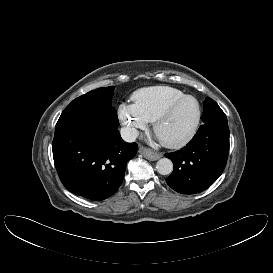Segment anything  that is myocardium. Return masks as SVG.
Instances as JSON below:
<instances>
[{
    "label": "myocardium",
    "mask_w": 273,
    "mask_h": 273,
    "mask_svg": "<svg viewBox=\"0 0 273 273\" xmlns=\"http://www.w3.org/2000/svg\"><path fill=\"white\" fill-rule=\"evenodd\" d=\"M185 100H192L195 102L196 106H197V116L196 119L194 121V124L192 126V128L190 129V131L180 140L177 141H164L161 140V143L168 147V148H172V149H179L182 148L184 146H186L196 135L200 122H201V116H202V111H201V106L198 102V100L191 96V95H184L174 101H172L171 103H169L160 113L159 115L155 118V120L153 121V131L154 133L157 135V131L158 128L160 127V125L162 124V122L164 120H166L171 113L173 112V110L182 102H184Z\"/></svg>",
    "instance_id": "obj_1"
}]
</instances>
